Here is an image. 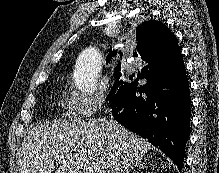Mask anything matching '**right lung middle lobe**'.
<instances>
[{
	"label": "right lung middle lobe",
	"instance_id": "right-lung-middle-lobe-1",
	"mask_svg": "<svg viewBox=\"0 0 219 173\" xmlns=\"http://www.w3.org/2000/svg\"><path fill=\"white\" fill-rule=\"evenodd\" d=\"M122 73L120 71V69H117L115 71V77L116 80L111 88V91L108 94V97L110 99V101L112 102L120 93H122L126 86L128 85V82L123 81L121 79Z\"/></svg>",
	"mask_w": 219,
	"mask_h": 173
}]
</instances>
